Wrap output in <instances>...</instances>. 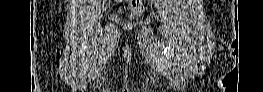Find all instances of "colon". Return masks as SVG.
<instances>
[{"mask_svg": "<svg viewBox=\"0 0 263 92\" xmlns=\"http://www.w3.org/2000/svg\"><path fill=\"white\" fill-rule=\"evenodd\" d=\"M129 7L133 15H140L143 12V1L130 0Z\"/></svg>", "mask_w": 263, "mask_h": 92, "instance_id": "obj_1", "label": "colon"}]
</instances>
